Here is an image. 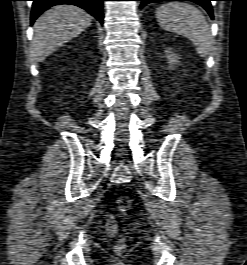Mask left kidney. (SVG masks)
<instances>
[{"mask_svg": "<svg viewBox=\"0 0 247 265\" xmlns=\"http://www.w3.org/2000/svg\"><path fill=\"white\" fill-rule=\"evenodd\" d=\"M165 53H166L167 61L170 64V67H172L174 64L179 62V57L174 51L169 49V50H166Z\"/></svg>", "mask_w": 247, "mask_h": 265, "instance_id": "1", "label": "left kidney"}]
</instances>
